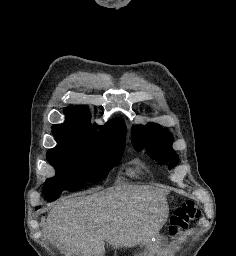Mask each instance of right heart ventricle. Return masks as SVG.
<instances>
[{"label":"right heart ventricle","mask_w":236,"mask_h":256,"mask_svg":"<svg viewBox=\"0 0 236 256\" xmlns=\"http://www.w3.org/2000/svg\"><path fill=\"white\" fill-rule=\"evenodd\" d=\"M138 172H139V169H138L137 171H131V172H130V175L138 174Z\"/></svg>","instance_id":"obj_1"}]
</instances>
